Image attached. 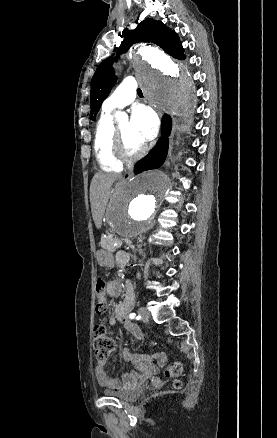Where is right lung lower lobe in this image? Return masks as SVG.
<instances>
[{"label": "right lung lower lobe", "instance_id": "obj_1", "mask_svg": "<svg viewBox=\"0 0 277 438\" xmlns=\"http://www.w3.org/2000/svg\"><path fill=\"white\" fill-rule=\"evenodd\" d=\"M171 127V118L168 115H165L162 120L163 137L145 158L137 162L134 168L135 173H140L149 169H156L163 165L168 152L169 140L167 137L170 134Z\"/></svg>", "mask_w": 277, "mask_h": 438}]
</instances>
